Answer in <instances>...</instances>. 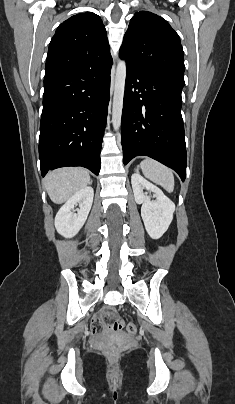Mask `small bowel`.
Segmentation results:
<instances>
[{
    "label": "small bowel",
    "mask_w": 235,
    "mask_h": 404,
    "mask_svg": "<svg viewBox=\"0 0 235 404\" xmlns=\"http://www.w3.org/2000/svg\"><path fill=\"white\" fill-rule=\"evenodd\" d=\"M103 317H105V313H104V309H102L95 317H94V321L95 320H101ZM91 332L95 333V326L92 325L91 326Z\"/></svg>",
    "instance_id": "obj_1"
}]
</instances>
